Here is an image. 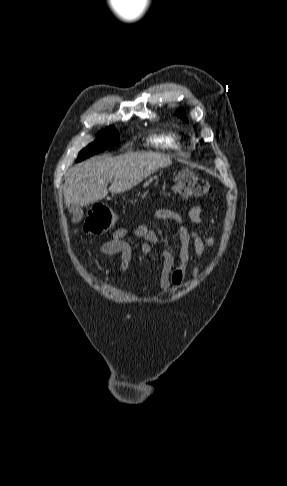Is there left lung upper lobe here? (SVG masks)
<instances>
[{
    "mask_svg": "<svg viewBox=\"0 0 287 486\" xmlns=\"http://www.w3.org/2000/svg\"><path fill=\"white\" fill-rule=\"evenodd\" d=\"M176 115L180 118H182L184 121H187L186 120V117H185V112L183 110H180L178 112H176Z\"/></svg>",
    "mask_w": 287,
    "mask_h": 486,
    "instance_id": "obj_1",
    "label": "left lung upper lobe"
}]
</instances>
